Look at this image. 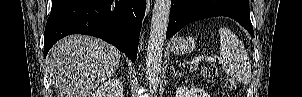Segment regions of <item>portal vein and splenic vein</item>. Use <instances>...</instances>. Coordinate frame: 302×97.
<instances>
[{
	"instance_id": "18ae733b",
	"label": "portal vein and splenic vein",
	"mask_w": 302,
	"mask_h": 97,
	"mask_svg": "<svg viewBox=\"0 0 302 97\" xmlns=\"http://www.w3.org/2000/svg\"><path fill=\"white\" fill-rule=\"evenodd\" d=\"M201 61H207V62H212V63L216 62V60H215L214 58L209 57V56H204V55H202V56L195 57V58L190 62V64H197V63H199V62H201Z\"/></svg>"
}]
</instances>
